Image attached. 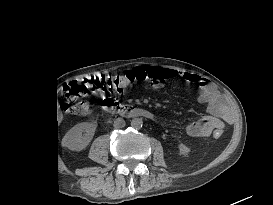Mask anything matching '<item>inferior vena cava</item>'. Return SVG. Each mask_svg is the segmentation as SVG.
<instances>
[{"label":"inferior vena cava","instance_id":"1","mask_svg":"<svg viewBox=\"0 0 273 205\" xmlns=\"http://www.w3.org/2000/svg\"><path fill=\"white\" fill-rule=\"evenodd\" d=\"M113 126L115 128H122L125 126V121L123 118H117L115 121H114V124Z\"/></svg>","mask_w":273,"mask_h":205}]
</instances>
